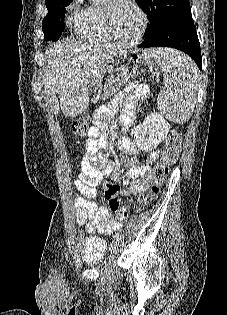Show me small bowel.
<instances>
[{
    "label": "small bowel",
    "mask_w": 227,
    "mask_h": 315,
    "mask_svg": "<svg viewBox=\"0 0 227 315\" xmlns=\"http://www.w3.org/2000/svg\"><path fill=\"white\" fill-rule=\"evenodd\" d=\"M120 96L137 101L147 98L149 89L145 85L131 82ZM104 114L105 111L102 110L96 114L95 122L86 139L80 173L73 181L78 192L74 200L77 224L89 234L96 232L112 234L123 226L109 208L98 206L93 200L96 196V187L103 178L111 177L113 182L125 185L126 188L121 191L122 195L140 194L147 189L150 163L157 157V153L153 152L148 162L140 161L135 156L137 154L135 146L128 138L123 137L118 141V146L133 156L125 160L126 170L118 169L115 161L109 159L104 152L109 146L105 136L101 134L105 127Z\"/></svg>",
    "instance_id": "1"
}]
</instances>
